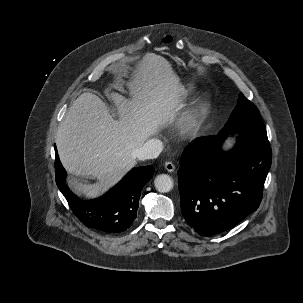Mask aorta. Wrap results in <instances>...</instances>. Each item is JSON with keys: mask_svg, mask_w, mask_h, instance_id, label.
<instances>
[{"mask_svg": "<svg viewBox=\"0 0 303 303\" xmlns=\"http://www.w3.org/2000/svg\"><path fill=\"white\" fill-rule=\"evenodd\" d=\"M154 185L157 191L161 193L169 192L173 188V180L167 174H161L156 176Z\"/></svg>", "mask_w": 303, "mask_h": 303, "instance_id": "aorta-1", "label": "aorta"}]
</instances>
